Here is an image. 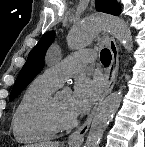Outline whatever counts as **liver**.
Segmentation results:
<instances>
[{"instance_id":"6515ba94","label":"liver","mask_w":145,"mask_h":147,"mask_svg":"<svg viewBox=\"0 0 145 147\" xmlns=\"http://www.w3.org/2000/svg\"><path fill=\"white\" fill-rule=\"evenodd\" d=\"M25 147H59V142H40L38 144L27 145Z\"/></svg>"}]
</instances>
